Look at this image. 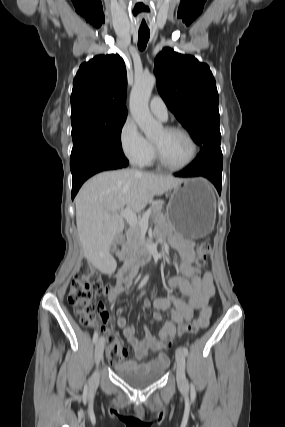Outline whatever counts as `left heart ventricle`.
Returning <instances> with one entry per match:
<instances>
[{
	"label": "left heart ventricle",
	"mask_w": 285,
	"mask_h": 427,
	"mask_svg": "<svg viewBox=\"0 0 285 427\" xmlns=\"http://www.w3.org/2000/svg\"><path fill=\"white\" fill-rule=\"evenodd\" d=\"M153 142L160 148L164 160L171 165L183 164L191 155V144L181 133H169L162 129Z\"/></svg>",
	"instance_id": "left-heart-ventricle-1"
}]
</instances>
